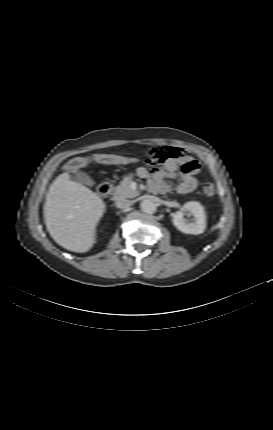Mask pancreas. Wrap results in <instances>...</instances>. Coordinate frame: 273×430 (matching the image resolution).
I'll return each mask as SVG.
<instances>
[{"label":"pancreas","instance_id":"cf45deb5","mask_svg":"<svg viewBox=\"0 0 273 430\" xmlns=\"http://www.w3.org/2000/svg\"><path fill=\"white\" fill-rule=\"evenodd\" d=\"M132 177L125 176L120 184L113 188L114 200H121L125 198H134L139 195L137 190L131 188Z\"/></svg>","mask_w":273,"mask_h":430}]
</instances>
